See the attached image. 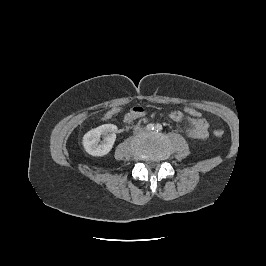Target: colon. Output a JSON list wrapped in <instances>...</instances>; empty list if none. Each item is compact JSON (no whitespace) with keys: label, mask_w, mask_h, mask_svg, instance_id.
I'll use <instances>...</instances> for the list:
<instances>
[{"label":"colon","mask_w":266,"mask_h":266,"mask_svg":"<svg viewBox=\"0 0 266 266\" xmlns=\"http://www.w3.org/2000/svg\"><path fill=\"white\" fill-rule=\"evenodd\" d=\"M182 113L188 117H191V118L199 119L202 117V113L194 106H185L183 108ZM214 134L217 137H221L224 134V131L222 129H217L214 131Z\"/></svg>","instance_id":"obj_1"}]
</instances>
